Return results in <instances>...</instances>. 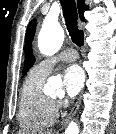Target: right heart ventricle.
I'll return each mask as SVG.
<instances>
[{
  "mask_svg": "<svg viewBox=\"0 0 116 134\" xmlns=\"http://www.w3.org/2000/svg\"><path fill=\"white\" fill-rule=\"evenodd\" d=\"M47 74L33 67L23 82L18 119L21 126L29 130H42L53 124L57 118V108L54 101L43 91Z\"/></svg>",
  "mask_w": 116,
  "mask_h": 134,
  "instance_id": "1",
  "label": "right heart ventricle"
}]
</instances>
